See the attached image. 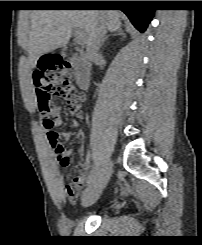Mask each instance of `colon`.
I'll return each mask as SVG.
<instances>
[{"label":"colon","mask_w":202,"mask_h":245,"mask_svg":"<svg viewBox=\"0 0 202 245\" xmlns=\"http://www.w3.org/2000/svg\"><path fill=\"white\" fill-rule=\"evenodd\" d=\"M71 70V64L55 54L45 56L34 70L37 111L42 116L44 126L50 127L53 124L51 111L54 95L65 101L67 110L71 114H77L82 107L80 94L71 82ZM48 139L53 150L63 149L56 132H50Z\"/></svg>","instance_id":"colon-1"}]
</instances>
